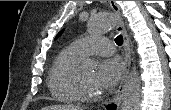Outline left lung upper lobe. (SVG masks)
<instances>
[{
	"label": "left lung upper lobe",
	"mask_w": 171,
	"mask_h": 110,
	"mask_svg": "<svg viewBox=\"0 0 171 110\" xmlns=\"http://www.w3.org/2000/svg\"><path fill=\"white\" fill-rule=\"evenodd\" d=\"M62 32H63V31H60V32L57 34L56 38H58V37L61 35Z\"/></svg>",
	"instance_id": "obj_1"
}]
</instances>
